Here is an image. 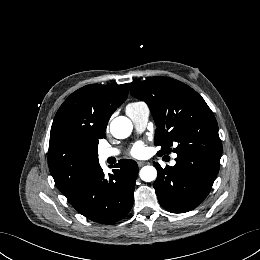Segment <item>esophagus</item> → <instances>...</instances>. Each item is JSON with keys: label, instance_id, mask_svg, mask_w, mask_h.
Segmentation results:
<instances>
[{"label": "esophagus", "instance_id": "obj_1", "mask_svg": "<svg viewBox=\"0 0 260 260\" xmlns=\"http://www.w3.org/2000/svg\"><path fill=\"white\" fill-rule=\"evenodd\" d=\"M137 164H138L139 167H142L143 165L147 164V162H145V161H138Z\"/></svg>", "mask_w": 260, "mask_h": 260}]
</instances>
